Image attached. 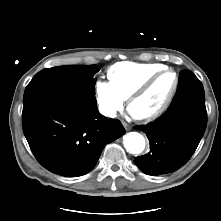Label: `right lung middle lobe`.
Wrapping results in <instances>:
<instances>
[{
  "instance_id": "right-lung-middle-lobe-1",
  "label": "right lung middle lobe",
  "mask_w": 221,
  "mask_h": 221,
  "mask_svg": "<svg viewBox=\"0 0 221 221\" xmlns=\"http://www.w3.org/2000/svg\"><path fill=\"white\" fill-rule=\"evenodd\" d=\"M99 69L97 65H68L43 69L33 77L26 90L47 87L95 97L96 79L93 77Z\"/></svg>"
}]
</instances>
